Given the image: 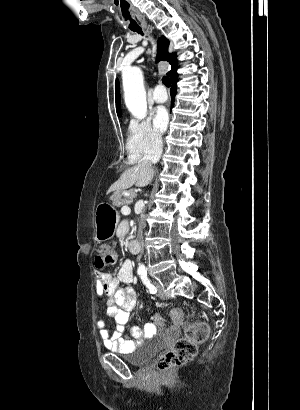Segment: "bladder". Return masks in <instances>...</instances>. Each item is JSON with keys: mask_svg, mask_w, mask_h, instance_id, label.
Returning <instances> with one entry per match:
<instances>
[{"mask_svg": "<svg viewBox=\"0 0 300 410\" xmlns=\"http://www.w3.org/2000/svg\"><path fill=\"white\" fill-rule=\"evenodd\" d=\"M159 345L140 344L132 352L124 354L122 359L133 366L147 364L159 351Z\"/></svg>", "mask_w": 300, "mask_h": 410, "instance_id": "bladder-1", "label": "bladder"}]
</instances>
